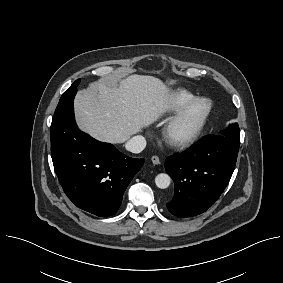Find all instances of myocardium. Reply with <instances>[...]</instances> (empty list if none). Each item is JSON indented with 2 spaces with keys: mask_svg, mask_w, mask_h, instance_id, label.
<instances>
[{
  "mask_svg": "<svg viewBox=\"0 0 283 283\" xmlns=\"http://www.w3.org/2000/svg\"><path fill=\"white\" fill-rule=\"evenodd\" d=\"M204 104V109L190 127H186L193 111ZM212 111V102L208 98L198 97L181 108L177 114L168 122L163 131L165 141L174 148H186L194 144L208 122Z\"/></svg>",
  "mask_w": 283,
  "mask_h": 283,
  "instance_id": "1",
  "label": "myocardium"
}]
</instances>
